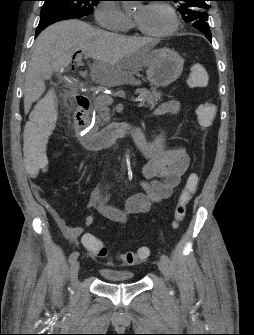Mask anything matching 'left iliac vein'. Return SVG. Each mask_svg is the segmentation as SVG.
Segmentation results:
<instances>
[{"instance_id": "1", "label": "left iliac vein", "mask_w": 254, "mask_h": 335, "mask_svg": "<svg viewBox=\"0 0 254 335\" xmlns=\"http://www.w3.org/2000/svg\"><path fill=\"white\" fill-rule=\"evenodd\" d=\"M157 265H158L159 270L162 272V274L165 277H167L168 276V265H167V263L165 261H163V260L160 259L157 262Z\"/></svg>"}]
</instances>
